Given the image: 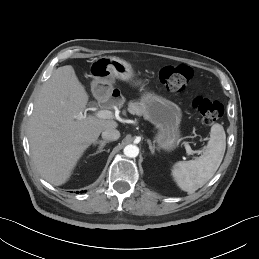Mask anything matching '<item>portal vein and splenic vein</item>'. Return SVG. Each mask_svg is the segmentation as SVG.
<instances>
[{
	"mask_svg": "<svg viewBox=\"0 0 259 259\" xmlns=\"http://www.w3.org/2000/svg\"><path fill=\"white\" fill-rule=\"evenodd\" d=\"M95 116L101 119H113L114 117L113 113L109 110H99L98 112H96ZM184 146L188 155H191L193 153H200V150L193 151L187 142L184 143Z\"/></svg>",
	"mask_w": 259,
	"mask_h": 259,
	"instance_id": "1",
	"label": "portal vein and splenic vein"
}]
</instances>
